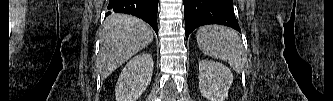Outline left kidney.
<instances>
[{
    "label": "left kidney",
    "mask_w": 333,
    "mask_h": 101,
    "mask_svg": "<svg viewBox=\"0 0 333 101\" xmlns=\"http://www.w3.org/2000/svg\"><path fill=\"white\" fill-rule=\"evenodd\" d=\"M233 82L228 67L216 61L202 60L199 63V90L209 101H224Z\"/></svg>",
    "instance_id": "1"
}]
</instances>
